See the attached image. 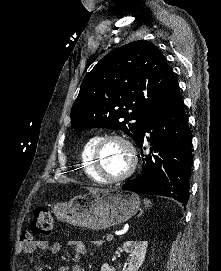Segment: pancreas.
I'll list each match as a JSON object with an SVG mask.
<instances>
[{"label": "pancreas", "mask_w": 221, "mask_h": 271, "mask_svg": "<svg viewBox=\"0 0 221 271\" xmlns=\"http://www.w3.org/2000/svg\"><path fill=\"white\" fill-rule=\"evenodd\" d=\"M89 243L92 244L93 247H103L106 244V239H90Z\"/></svg>", "instance_id": "1"}]
</instances>
